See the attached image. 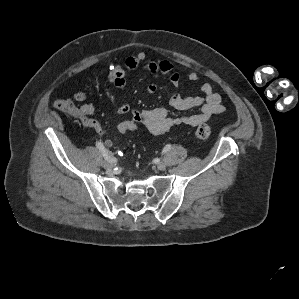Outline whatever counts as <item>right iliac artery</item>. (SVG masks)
<instances>
[{"label":"right iliac artery","instance_id":"right-iliac-artery-1","mask_svg":"<svg viewBox=\"0 0 299 299\" xmlns=\"http://www.w3.org/2000/svg\"><path fill=\"white\" fill-rule=\"evenodd\" d=\"M96 146L97 148L100 150V152L102 153L103 157L105 158V160L114 163L116 162V158H114L113 156L110 155V153L108 152V150L105 148V146L103 145V143L101 142H96Z\"/></svg>","mask_w":299,"mask_h":299}]
</instances>
